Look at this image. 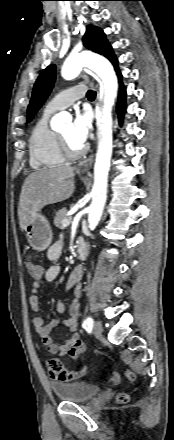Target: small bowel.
I'll return each instance as SVG.
<instances>
[{
    "mask_svg": "<svg viewBox=\"0 0 174 440\" xmlns=\"http://www.w3.org/2000/svg\"><path fill=\"white\" fill-rule=\"evenodd\" d=\"M63 250L62 240L55 242L47 251V258L54 262L49 266L43 275V279L36 280L32 284L31 295L29 298L30 307L32 311L39 312L41 309L40 300L38 296L39 288L43 281H54L59 273L60 266L55 262L60 257ZM83 270L81 267H76L70 274L67 281V291L72 293L74 298L69 307V318L63 322V325L70 331L76 328L78 316L80 314V292L82 283ZM56 316L49 322H45L43 316H35L33 318V325L41 342L47 347L49 353L54 355H68L73 362H77L86 352V345L80 336L73 333L70 337L61 343H56L53 340L52 332L60 325L59 316L66 312V305L64 301L60 300L55 306ZM48 373L52 380L56 382H72L79 372H73L65 369L58 359H51L46 363Z\"/></svg>",
    "mask_w": 174,
    "mask_h": 440,
    "instance_id": "c3829d8e",
    "label": "small bowel"
}]
</instances>
